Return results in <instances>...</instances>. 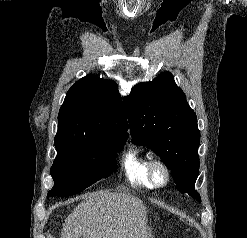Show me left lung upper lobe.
Wrapping results in <instances>:
<instances>
[{
	"label": "left lung upper lobe",
	"instance_id": "left-lung-upper-lobe-1",
	"mask_svg": "<svg viewBox=\"0 0 247 238\" xmlns=\"http://www.w3.org/2000/svg\"><path fill=\"white\" fill-rule=\"evenodd\" d=\"M123 104L135 143L157 153L180 192L201 201L194 188L199 173L197 118L172 74L162 72L153 81L136 85Z\"/></svg>",
	"mask_w": 247,
	"mask_h": 238
}]
</instances>
